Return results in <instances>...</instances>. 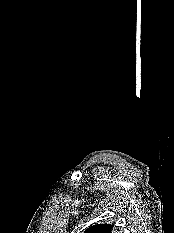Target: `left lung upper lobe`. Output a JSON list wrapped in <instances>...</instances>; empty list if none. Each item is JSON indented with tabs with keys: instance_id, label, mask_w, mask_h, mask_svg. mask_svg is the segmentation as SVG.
I'll return each instance as SVG.
<instances>
[{
	"instance_id": "1",
	"label": "left lung upper lobe",
	"mask_w": 174,
	"mask_h": 233,
	"mask_svg": "<svg viewBox=\"0 0 174 233\" xmlns=\"http://www.w3.org/2000/svg\"><path fill=\"white\" fill-rule=\"evenodd\" d=\"M112 227L110 224H97L86 229L84 233H111Z\"/></svg>"
}]
</instances>
